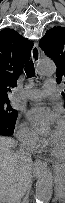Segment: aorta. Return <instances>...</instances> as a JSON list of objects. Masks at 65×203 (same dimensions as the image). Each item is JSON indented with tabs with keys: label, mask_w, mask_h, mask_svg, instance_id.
<instances>
[{
	"label": "aorta",
	"mask_w": 65,
	"mask_h": 203,
	"mask_svg": "<svg viewBox=\"0 0 65 203\" xmlns=\"http://www.w3.org/2000/svg\"><path fill=\"white\" fill-rule=\"evenodd\" d=\"M37 72L40 76H52L56 72V65L49 58L41 59L38 63ZM53 175L50 169L45 168L36 182V203H49L52 197Z\"/></svg>",
	"instance_id": "aorta-1"
}]
</instances>
